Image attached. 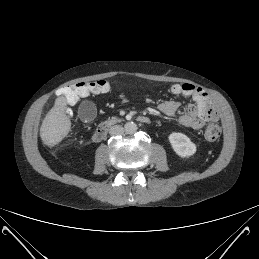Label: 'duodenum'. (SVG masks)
Returning a JSON list of instances; mask_svg holds the SVG:
<instances>
[{
	"label": "duodenum",
	"mask_w": 259,
	"mask_h": 259,
	"mask_svg": "<svg viewBox=\"0 0 259 259\" xmlns=\"http://www.w3.org/2000/svg\"><path fill=\"white\" fill-rule=\"evenodd\" d=\"M137 120L140 122V123H143V124H148L150 123V119L149 117L147 116H144V115H141V116H138ZM111 126V123H103L102 125H100L96 131L94 132L93 136H92V139L93 141L95 142H100L102 141L107 132H108V129L109 127Z\"/></svg>",
	"instance_id": "obj_1"
}]
</instances>
